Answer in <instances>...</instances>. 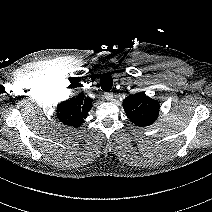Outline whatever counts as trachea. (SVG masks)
<instances>
[{
	"label": "trachea",
	"instance_id": "trachea-1",
	"mask_svg": "<svg viewBox=\"0 0 212 212\" xmlns=\"http://www.w3.org/2000/svg\"><path fill=\"white\" fill-rule=\"evenodd\" d=\"M100 85H101L102 90H104L106 92L110 91L113 86V78L111 77V75H109V74L102 75V77L100 79Z\"/></svg>",
	"mask_w": 212,
	"mask_h": 212
}]
</instances>
